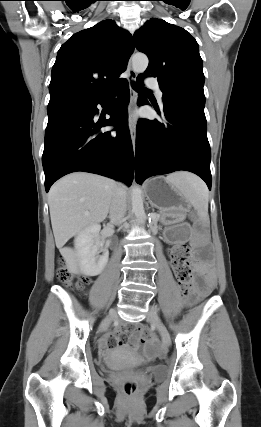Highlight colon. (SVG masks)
<instances>
[{"mask_svg":"<svg viewBox=\"0 0 261 427\" xmlns=\"http://www.w3.org/2000/svg\"><path fill=\"white\" fill-rule=\"evenodd\" d=\"M188 255L189 249L186 245H177L170 250V257L174 273L179 281V284L184 288V290H186L185 288L188 286L192 278L191 270L187 261ZM57 276L62 283L68 285L72 284L74 281V273L64 259L60 261V267L58 268ZM88 282L89 281L87 278L79 277L75 282V286L81 290ZM136 331L140 335L141 341L143 343H147L151 340V335L143 326H138ZM137 387L138 386L135 381L129 380L124 383L123 389L126 395L132 396L136 393Z\"/></svg>","mask_w":261,"mask_h":427,"instance_id":"1","label":"colon"}]
</instances>
